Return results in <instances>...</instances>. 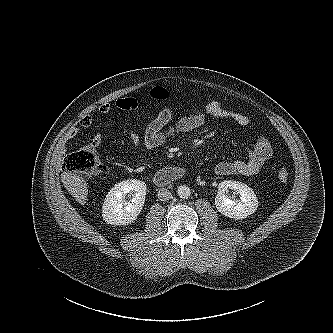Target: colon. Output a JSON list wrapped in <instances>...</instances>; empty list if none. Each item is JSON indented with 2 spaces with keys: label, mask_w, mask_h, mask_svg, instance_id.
Returning a JSON list of instances; mask_svg holds the SVG:
<instances>
[{
  "label": "colon",
  "mask_w": 333,
  "mask_h": 333,
  "mask_svg": "<svg viewBox=\"0 0 333 333\" xmlns=\"http://www.w3.org/2000/svg\"><path fill=\"white\" fill-rule=\"evenodd\" d=\"M150 96L158 101H165L169 97V93L162 87H155L150 91ZM63 168L67 172H74L93 176L104 170L102 161L93 146H85L81 149L68 154L63 162ZM278 179L281 183L289 180V173L285 168L278 171Z\"/></svg>",
  "instance_id": "1"
}]
</instances>
